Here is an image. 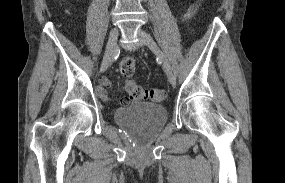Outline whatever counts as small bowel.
I'll list each match as a JSON object with an SVG mask.
<instances>
[{"instance_id": "c3829d8e", "label": "small bowel", "mask_w": 285, "mask_h": 183, "mask_svg": "<svg viewBox=\"0 0 285 183\" xmlns=\"http://www.w3.org/2000/svg\"><path fill=\"white\" fill-rule=\"evenodd\" d=\"M111 87V82L108 78H102L101 79V86L97 89L98 95L104 99L107 100L109 99V95L107 90Z\"/></svg>"}]
</instances>
